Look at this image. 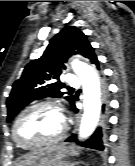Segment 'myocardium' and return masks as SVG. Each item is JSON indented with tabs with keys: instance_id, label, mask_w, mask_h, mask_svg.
I'll return each mask as SVG.
<instances>
[{
	"instance_id": "obj_1",
	"label": "myocardium",
	"mask_w": 135,
	"mask_h": 166,
	"mask_svg": "<svg viewBox=\"0 0 135 166\" xmlns=\"http://www.w3.org/2000/svg\"><path fill=\"white\" fill-rule=\"evenodd\" d=\"M41 107H50L53 108L55 110H57L62 118V128L59 132V134L50 140H46V141H42V142H38V143H24L22 141L19 140L18 136H17V126L21 120V118L28 113L29 111L33 110V109H37V108H41ZM67 131V118L65 116V112H64V108L63 106L55 101H51V100H47V101H41V102H37L35 104H32L28 107H26L15 119L13 127H12V138L14 140V142L25 149H36V148H41V147H45V146H51L54 144H57L58 142H60L63 137L65 136Z\"/></svg>"
}]
</instances>
